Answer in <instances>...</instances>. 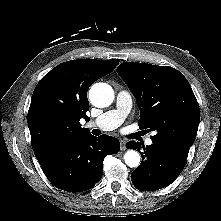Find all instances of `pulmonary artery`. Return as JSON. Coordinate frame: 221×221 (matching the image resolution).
Returning <instances> with one entry per match:
<instances>
[{
	"mask_svg": "<svg viewBox=\"0 0 221 221\" xmlns=\"http://www.w3.org/2000/svg\"><path fill=\"white\" fill-rule=\"evenodd\" d=\"M132 107L131 95L128 91L122 90L116 96V106L114 109L109 110L95 120H92L86 124L87 128H97L103 131H111L119 127ZM146 145L150 146L152 140L148 138Z\"/></svg>",
	"mask_w": 221,
	"mask_h": 221,
	"instance_id": "pulmonary-artery-1",
	"label": "pulmonary artery"
}]
</instances>
